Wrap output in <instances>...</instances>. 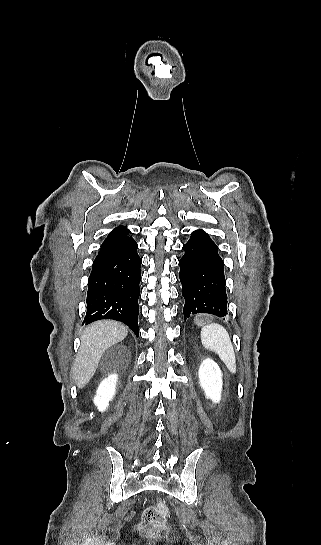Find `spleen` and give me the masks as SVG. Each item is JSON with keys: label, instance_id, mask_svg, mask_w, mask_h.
<instances>
[{"label": "spleen", "instance_id": "obj_1", "mask_svg": "<svg viewBox=\"0 0 321 545\" xmlns=\"http://www.w3.org/2000/svg\"><path fill=\"white\" fill-rule=\"evenodd\" d=\"M201 343L205 349L214 351L225 363L230 373H236V357L231 339L224 327L218 323L204 325L201 329Z\"/></svg>", "mask_w": 321, "mask_h": 545}]
</instances>
